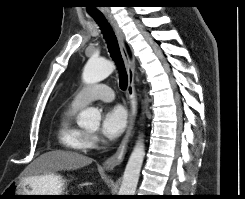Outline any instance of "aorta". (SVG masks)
<instances>
[{
    "mask_svg": "<svg viewBox=\"0 0 245 199\" xmlns=\"http://www.w3.org/2000/svg\"><path fill=\"white\" fill-rule=\"evenodd\" d=\"M114 64L107 60L90 58L86 63L82 80L85 84H95L107 78L114 71ZM101 114L96 108H87L79 116L77 123L85 128H98L100 125ZM145 156L143 139L140 137L127 162L119 195H135L141 167Z\"/></svg>",
    "mask_w": 245,
    "mask_h": 199,
    "instance_id": "obj_1",
    "label": "aorta"
}]
</instances>
